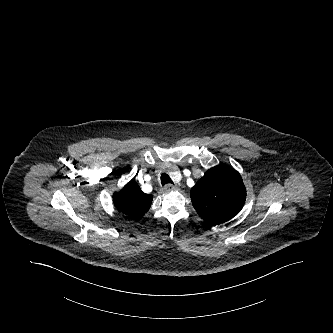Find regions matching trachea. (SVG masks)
Returning <instances> with one entry per match:
<instances>
[{
	"instance_id": "trachea-1",
	"label": "trachea",
	"mask_w": 333,
	"mask_h": 333,
	"mask_svg": "<svg viewBox=\"0 0 333 333\" xmlns=\"http://www.w3.org/2000/svg\"><path fill=\"white\" fill-rule=\"evenodd\" d=\"M161 183L164 186L165 184H169V183L173 184V181L168 174L163 173L161 175Z\"/></svg>"
}]
</instances>
